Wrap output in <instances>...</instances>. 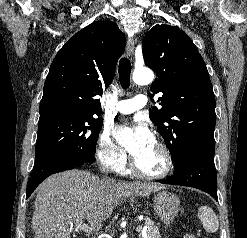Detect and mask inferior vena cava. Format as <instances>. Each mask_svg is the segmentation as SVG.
<instances>
[{
    "instance_id": "602c4592",
    "label": "inferior vena cava",
    "mask_w": 247,
    "mask_h": 238,
    "mask_svg": "<svg viewBox=\"0 0 247 238\" xmlns=\"http://www.w3.org/2000/svg\"><path fill=\"white\" fill-rule=\"evenodd\" d=\"M102 172H104L105 173V170H103ZM106 174H107V172H106ZM105 179H106V177H105ZM110 180V179H109Z\"/></svg>"
}]
</instances>
